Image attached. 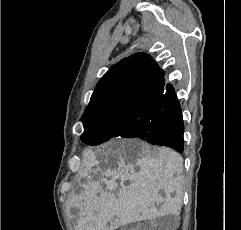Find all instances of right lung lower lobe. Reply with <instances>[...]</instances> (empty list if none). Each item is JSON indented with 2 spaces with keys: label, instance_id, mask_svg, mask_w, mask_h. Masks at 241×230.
<instances>
[{
  "label": "right lung lower lobe",
  "instance_id": "1",
  "mask_svg": "<svg viewBox=\"0 0 241 230\" xmlns=\"http://www.w3.org/2000/svg\"><path fill=\"white\" fill-rule=\"evenodd\" d=\"M146 127L135 131L134 137L153 145H163L183 152L184 124L181 106L171 84H165L144 113ZM148 122L149 126H148Z\"/></svg>",
  "mask_w": 241,
  "mask_h": 230
}]
</instances>
